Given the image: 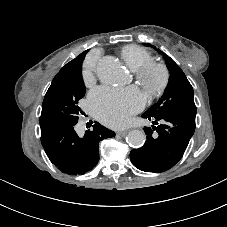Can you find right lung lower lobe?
<instances>
[{
	"label": "right lung lower lobe",
	"instance_id": "right-lung-lower-lobe-1",
	"mask_svg": "<svg viewBox=\"0 0 227 227\" xmlns=\"http://www.w3.org/2000/svg\"><path fill=\"white\" fill-rule=\"evenodd\" d=\"M76 124H58L41 133L42 146L60 171L69 175L84 174L99 161V142L115 136L98 122L83 137L75 132Z\"/></svg>",
	"mask_w": 227,
	"mask_h": 227
}]
</instances>
